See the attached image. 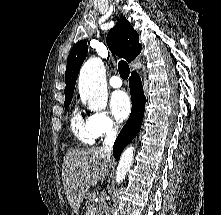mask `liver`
<instances>
[{
	"mask_svg": "<svg viewBox=\"0 0 221 215\" xmlns=\"http://www.w3.org/2000/svg\"><path fill=\"white\" fill-rule=\"evenodd\" d=\"M110 167L111 159H106L100 148L68 150L62 166V182L75 214H78L89 188L104 180Z\"/></svg>",
	"mask_w": 221,
	"mask_h": 215,
	"instance_id": "obj_1",
	"label": "liver"
}]
</instances>
